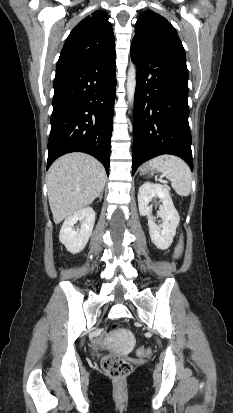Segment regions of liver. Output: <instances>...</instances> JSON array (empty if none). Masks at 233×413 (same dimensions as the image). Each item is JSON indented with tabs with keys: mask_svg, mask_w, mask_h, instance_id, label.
Wrapping results in <instances>:
<instances>
[{
	"mask_svg": "<svg viewBox=\"0 0 233 413\" xmlns=\"http://www.w3.org/2000/svg\"><path fill=\"white\" fill-rule=\"evenodd\" d=\"M105 180L104 167L88 154L74 152L58 158L47 175L55 224L91 204L103 191Z\"/></svg>",
	"mask_w": 233,
	"mask_h": 413,
	"instance_id": "liver-1",
	"label": "liver"
}]
</instances>
